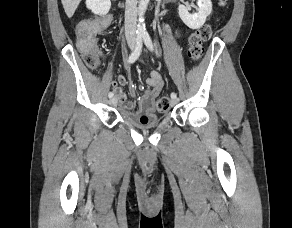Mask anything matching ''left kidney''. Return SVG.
I'll list each match as a JSON object with an SVG mask.
<instances>
[{"mask_svg": "<svg viewBox=\"0 0 292 228\" xmlns=\"http://www.w3.org/2000/svg\"><path fill=\"white\" fill-rule=\"evenodd\" d=\"M197 13L190 14V5L185 3V5H179L178 13L181 20L191 29L200 28L206 21L207 16L212 12V2L211 0H198Z\"/></svg>", "mask_w": 292, "mask_h": 228, "instance_id": "1", "label": "left kidney"}]
</instances>
